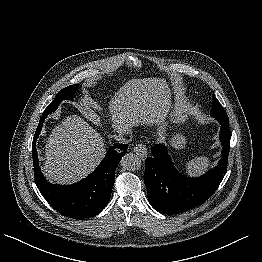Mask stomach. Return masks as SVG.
<instances>
[{
  "label": "stomach",
  "mask_w": 262,
  "mask_h": 262,
  "mask_svg": "<svg viewBox=\"0 0 262 262\" xmlns=\"http://www.w3.org/2000/svg\"><path fill=\"white\" fill-rule=\"evenodd\" d=\"M170 108L171 109H169V118L173 123L183 124L188 119V114L183 108L178 107V106H174ZM185 143H186V139L181 134H176L172 138V146L175 149L183 148Z\"/></svg>",
  "instance_id": "1"
}]
</instances>
